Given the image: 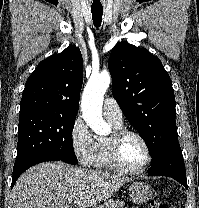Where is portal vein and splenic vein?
<instances>
[{"label": "portal vein and splenic vein", "mask_w": 199, "mask_h": 208, "mask_svg": "<svg viewBox=\"0 0 199 208\" xmlns=\"http://www.w3.org/2000/svg\"><path fill=\"white\" fill-rule=\"evenodd\" d=\"M67 200L69 203H71L73 201V197H69Z\"/></svg>", "instance_id": "18ae733b"}]
</instances>
